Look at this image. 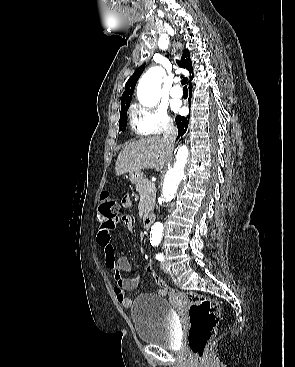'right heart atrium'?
<instances>
[{
	"mask_svg": "<svg viewBox=\"0 0 295 367\" xmlns=\"http://www.w3.org/2000/svg\"><path fill=\"white\" fill-rule=\"evenodd\" d=\"M133 130L142 136L159 135L172 129L173 123L166 107L137 104L132 109Z\"/></svg>",
	"mask_w": 295,
	"mask_h": 367,
	"instance_id": "d8ad5b80",
	"label": "right heart atrium"
}]
</instances>
